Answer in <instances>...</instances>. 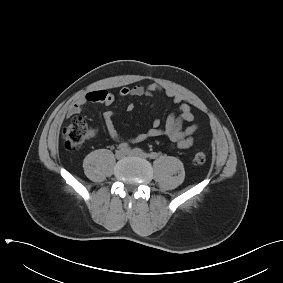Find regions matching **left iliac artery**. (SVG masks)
Segmentation results:
<instances>
[{"instance_id": "left-iliac-artery-1", "label": "left iliac artery", "mask_w": 283, "mask_h": 283, "mask_svg": "<svg viewBox=\"0 0 283 283\" xmlns=\"http://www.w3.org/2000/svg\"><path fill=\"white\" fill-rule=\"evenodd\" d=\"M147 157H149L150 159H155L158 157V154L156 152H151V153H148L146 154Z\"/></svg>"}]
</instances>
